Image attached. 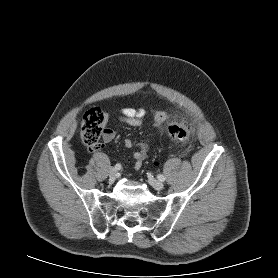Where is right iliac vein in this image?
<instances>
[{
	"instance_id": "63e3f726",
	"label": "right iliac vein",
	"mask_w": 278,
	"mask_h": 278,
	"mask_svg": "<svg viewBox=\"0 0 278 278\" xmlns=\"http://www.w3.org/2000/svg\"><path fill=\"white\" fill-rule=\"evenodd\" d=\"M109 177L111 181H114L117 177V170L115 168H110Z\"/></svg>"
}]
</instances>
